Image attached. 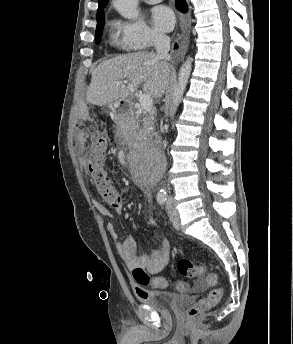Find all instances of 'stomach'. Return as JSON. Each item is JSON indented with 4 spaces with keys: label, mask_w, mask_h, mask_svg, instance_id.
<instances>
[{
    "label": "stomach",
    "mask_w": 293,
    "mask_h": 344,
    "mask_svg": "<svg viewBox=\"0 0 293 344\" xmlns=\"http://www.w3.org/2000/svg\"><path fill=\"white\" fill-rule=\"evenodd\" d=\"M121 103L122 102H120V101L113 102V103L110 104L109 108L111 109V111L113 113H115L117 108L120 106Z\"/></svg>",
    "instance_id": "stomach-1"
}]
</instances>
